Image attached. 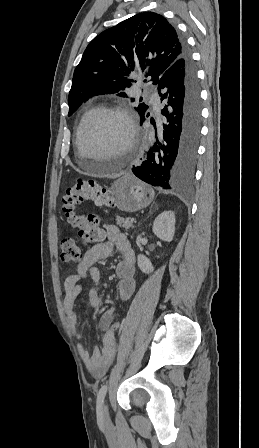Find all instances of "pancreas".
I'll list each match as a JSON object with an SVG mask.
<instances>
[{"label":"pancreas","mask_w":259,"mask_h":448,"mask_svg":"<svg viewBox=\"0 0 259 448\" xmlns=\"http://www.w3.org/2000/svg\"><path fill=\"white\" fill-rule=\"evenodd\" d=\"M116 222L120 228H125V230L135 228V226H133L134 218H119V216H116Z\"/></svg>","instance_id":"obj_1"}]
</instances>
